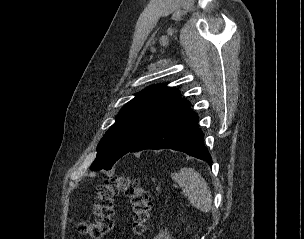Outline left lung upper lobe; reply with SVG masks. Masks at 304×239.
<instances>
[{"label":"left lung upper lobe","mask_w":304,"mask_h":239,"mask_svg":"<svg viewBox=\"0 0 304 239\" xmlns=\"http://www.w3.org/2000/svg\"><path fill=\"white\" fill-rule=\"evenodd\" d=\"M175 88L152 85L136 94L119 112L115 123L97 147L92 170H109L114 163L145 137L169 120L180 115L191 104Z\"/></svg>","instance_id":"1"}]
</instances>
